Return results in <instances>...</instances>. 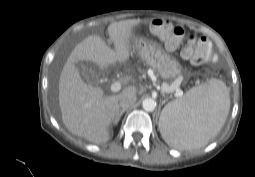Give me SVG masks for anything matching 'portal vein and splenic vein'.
<instances>
[{"mask_svg": "<svg viewBox=\"0 0 255 177\" xmlns=\"http://www.w3.org/2000/svg\"><path fill=\"white\" fill-rule=\"evenodd\" d=\"M110 89L112 92H118L121 89V84L119 82H114L111 84ZM177 89H178V85L172 86V87H167V88H165V92L171 93Z\"/></svg>", "mask_w": 255, "mask_h": 177, "instance_id": "18ae733b", "label": "portal vein and splenic vein"}]
</instances>
